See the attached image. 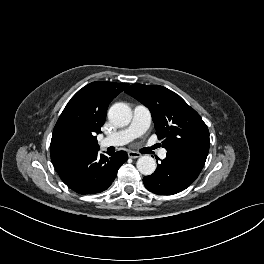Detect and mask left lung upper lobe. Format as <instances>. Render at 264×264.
Here are the masks:
<instances>
[{
  "mask_svg": "<svg viewBox=\"0 0 264 264\" xmlns=\"http://www.w3.org/2000/svg\"><path fill=\"white\" fill-rule=\"evenodd\" d=\"M149 108L167 152H184L206 161L209 131L200 115L179 95L159 85L133 84L125 91Z\"/></svg>",
  "mask_w": 264,
  "mask_h": 264,
  "instance_id": "obj_1",
  "label": "left lung upper lobe"
}]
</instances>
